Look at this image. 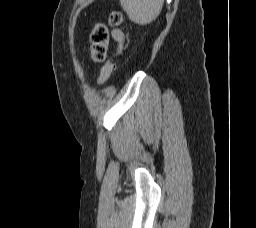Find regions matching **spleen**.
<instances>
[{
	"instance_id": "1",
	"label": "spleen",
	"mask_w": 256,
	"mask_h": 228,
	"mask_svg": "<svg viewBox=\"0 0 256 228\" xmlns=\"http://www.w3.org/2000/svg\"><path fill=\"white\" fill-rule=\"evenodd\" d=\"M120 3L132 22L146 25L158 17L164 0H120Z\"/></svg>"
}]
</instances>
